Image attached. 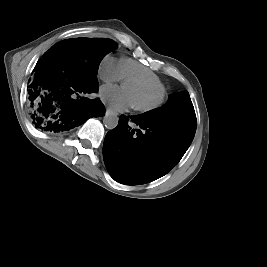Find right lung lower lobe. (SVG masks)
Returning a JSON list of instances; mask_svg holds the SVG:
<instances>
[{"instance_id":"right-lung-lower-lobe-1","label":"right lung lower lobe","mask_w":267,"mask_h":267,"mask_svg":"<svg viewBox=\"0 0 267 267\" xmlns=\"http://www.w3.org/2000/svg\"><path fill=\"white\" fill-rule=\"evenodd\" d=\"M29 88V114L34 126L43 131L66 132L105 114L98 98H80L96 92L99 84L78 82L56 62L39 60Z\"/></svg>"}]
</instances>
